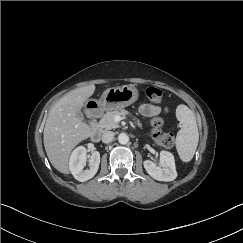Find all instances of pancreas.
Listing matches in <instances>:
<instances>
[{
	"instance_id": "obj_1",
	"label": "pancreas",
	"mask_w": 243,
	"mask_h": 243,
	"mask_svg": "<svg viewBox=\"0 0 243 243\" xmlns=\"http://www.w3.org/2000/svg\"><path fill=\"white\" fill-rule=\"evenodd\" d=\"M128 114H130V113L124 109L108 111L104 114V116L99 121V126L101 129H104V130H111V129L118 128L119 124L114 120L115 116H117V115L125 116ZM134 120H136L135 117H134ZM135 122L139 128H142V124L140 123L139 120H137Z\"/></svg>"
}]
</instances>
